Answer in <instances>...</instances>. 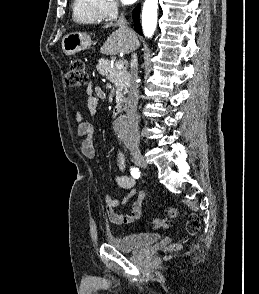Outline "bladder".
<instances>
[{
	"instance_id": "31cf9c89",
	"label": "bladder",
	"mask_w": 259,
	"mask_h": 294,
	"mask_svg": "<svg viewBox=\"0 0 259 294\" xmlns=\"http://www.w3.org/2000/svg\"><path fill=\"white\" fill-rule=\"evenodd\" d=\"M159 238L158 233H128L113 236L108 243L119 251L133 252L155 243Z\"/></svg>"
}]
</instances>
